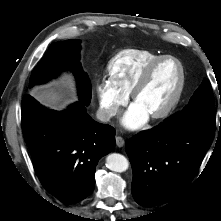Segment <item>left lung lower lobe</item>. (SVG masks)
Returning <instances> with one entry per match:
<instances>
[{
	"label": "left lung lower lobe",
	"mask_w": 221,
	"mask_h": 221,
	"mask_svg": "<svg viewBox=\"0 0 221 221\" xmlns=\"http://www.w3.org/2000/svg\"><path fill=\"white\" fill-rule=\"evenodd\" d=\"M213 130L172 128L164 121L130 138L125 145L133 170L132 195L145 207L175 200L191 183Z\"/></svg>",
	"instance_id": "1"
}]
</instances>
